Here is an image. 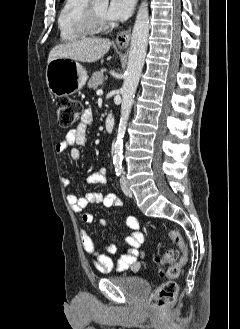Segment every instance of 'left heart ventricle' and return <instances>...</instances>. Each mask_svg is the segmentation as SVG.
<instances>
[{
	"mask_svg": "<svg viewBox=\"0 0 240 329\" xmlns=\"http://www.w3.org/2000/svg\"><path fill=\"white\" fill-rule=\"evenodd\" d=\"M93 6H94L95 10L97 11V13L106 19V17H105V10H106V6H107L106 2L96 0L93 2Z\"/></svg>",
	"mask_w": 240,
	"mask_h": 329,
	"instance_id": "1",
	"label": "left heart ventricle"
}]
</instances>
